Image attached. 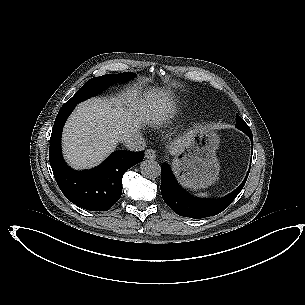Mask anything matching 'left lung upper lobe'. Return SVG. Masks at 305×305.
I'll return each mask as SVG.
<instances>
[{
    "label": "left lung upper lobe",
    "mask_w": 305,
    "mask_h": 305,
    "mask_svg": "<svg viewBox=\"0 0 305 305\" xmlns=\"http://www.w3.org/2000/svg\"><path fill=\"white\" fill-rule=\"evenodd\" d=\"M236 127L238 129H240L241 131H243L245 134H247L249 136L250 139H253L252 137V132L249 128V126L244 122V120H242L239 115H236ZM244 184V183H242ZM233 193L220 198V199H213L212 201L217 204L218 206L222 205L223 203H227L228 200L232 197Z\"/></svg>",
    "instance_id": "left-lung-upper-lobe-1"
}]
</instances>
